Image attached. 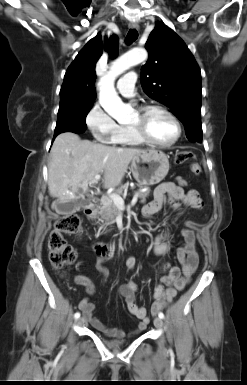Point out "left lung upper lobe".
I'll return each instance as SVG.
<instances>
[{
    "mask_svg": "<svg viewBox=\"0 0 247 385\" xmlns=\"http://www.w3.org/2000/svg\"><path fill=\"white\" fill-rule=\"evenodd\" d=\"M145 48L149 59L141 69L144 92L172 110L189 140L202 138L201 72L193 55L182 39L160 22Z\"/></svg>",
    "mask_w": 247,
    "mask_h": 385,
    "instance_id": "obj_1",
    "label": "left lung upper lobe"
}]
</instances>
